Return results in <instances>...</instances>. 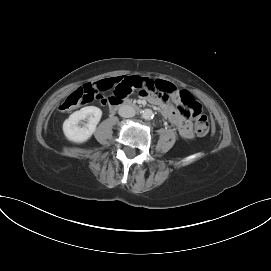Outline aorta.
Wrapping results in <instances>:
<instances>
[{"mask_svg":"<svg viewBox=\"0 0 271 271\" xmlns=\"http://www.w3.org/2000/svg\"><path fill=\"white\" fill-rule=\"evenodd\" d=\"M154 116L153 111L151 109H145L142 111V117L144 119H152Z\"/></svg>","mask_w":271,"mask_h":271,"instance_id":"obj_1","label":"aorta"}]
</instances>
